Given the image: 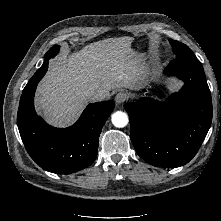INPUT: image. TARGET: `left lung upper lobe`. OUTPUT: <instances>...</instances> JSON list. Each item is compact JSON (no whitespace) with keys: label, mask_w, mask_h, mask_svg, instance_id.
Here are the masks:
<instances>
[{"label":"left lung upper lobe","mask_w":221,"mask_h":221,"mask_svg":"<svg viewBox=\"0 0 221 221\" xmlns=\"http://www.w3.org/2000/svg\"><path fill=\"white\" fill-rule=\"evenodd\" d=\"M170 44L172 45L173 52L176 54V58L194 55L191 49L181 42L170 40Z\"/></svg>","instance_id":"1"}]
</instances>
